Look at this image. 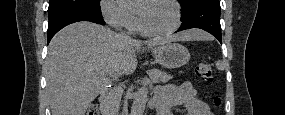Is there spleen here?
Segmentation results:
<instances>
[{
  "label": "spleen",
  "mask_w": 285,
  "mask_h": 115,
  "mask_svg": "<svg viewBox=\"0 0 285 115\" xmlns=\"http://www.w3.org/2000/svg\"><path fill=\"white\" fill-rule=\"evenodd\" d=\"M216 67H217L218 70H224V64H223V62H222L221 60H218V61L216 62Z\"/></svg>",
  "instance_id": "3e777b00"
}]
</instances>
